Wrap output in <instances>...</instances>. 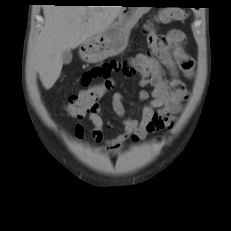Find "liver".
I'll return each mask as SVG.
<instances>
[{
  "label": "liver",
  "mask_w": 231,
  "mask_h": 231,
  "mask_svg": "<svg viewBox=\"0 0 231 231\" xmlns=\"http://www.w3.org/2000/svg\"><path fill=\"white\" fill-rule=\"evenodd\" d=\"M122 9L85 5L44 7L45 25L35 44L33 61L45 89H50L60 76L63 52L105 31Z\"/></svg>",
  "instance_id": "liver-1"
}]
</instances>
